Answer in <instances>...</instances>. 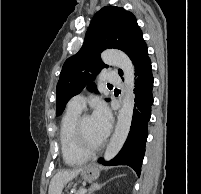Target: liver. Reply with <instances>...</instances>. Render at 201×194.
Segmentation results:
<instances>
[{
	"label": "liver",
	"instance_id": "obj_1",
	"mask_svg": "<svg viewBox=\"0 0 201 194\" xmlns=\"http://www.w3.org/2000/svg\"><path fill=\"white\" fill-rule=\"evenodd\" d=\"M82 170L83 168L57 172L51 179L48 194H62L64 186L81 173Z\"/></svg>",
	"mask_w": 201,
	"mask_h": 194
}]
</instances>
